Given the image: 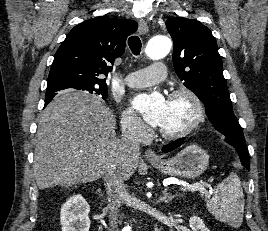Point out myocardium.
<instances>
[{"label":"myocardium","mask_w":268,"mask_h":231,"mask_svg":"<svg viewBox=\"0 0 268 231\" xmlns=\"http://www.w3.org/2000/svg\"><path fill=\"white\" fill-rule=\"evenodd\" d=\"M178 97H184L192 103L193 110H194L193 118L184 128L178 131L168 132L161 128H158L157 129L158 134L166 139H178V138H183L189 135L201 124L204 118L203 103L195 92H193L192 90L188 88H179V89L173 90L169 94L168 99H173V98H178Z\"/></svg>","instance_id":"obj_1"}]
</instances>
